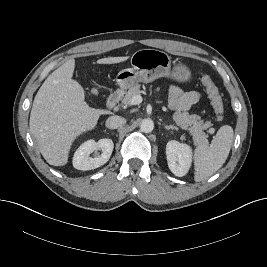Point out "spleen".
<instances>
[{
    "instance_id": "obj_1",
    "label": "spleen",
    "mask_w": 267,
    "mask_h": 267,
    "mask_svg": "<svg viewBox=\"0 0 267 267\" xmlns=\"http://www.w3.org/2000/svg\"><path fill=\"white\" fill-rule=\"evenodd\" d=\"M233 142V128L223 125L217 131L210 144L201 143L194 153L196 182L204 181L212 176L225 163Z\"/></svg>"
}]
</instances>
